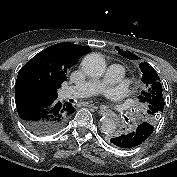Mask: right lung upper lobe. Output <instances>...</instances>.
<instances>
[{"instance_id": "1", "label": "right lung upper lobe", "mask_w": 177, "mask_h": 177, "mask_svg": "<svg viewBox=\"0 0 177 177\" xmlns=\"http://www.w3.org/2000/svg\"><path fill=\"white\" fill-rule=\"evenodd\" d=\"M89 51L87 46L68 42L46 48L20 69L15 92L30 91L58 97L57 90L67 80L69 69Z\"/></svg>"}]
</instances>
